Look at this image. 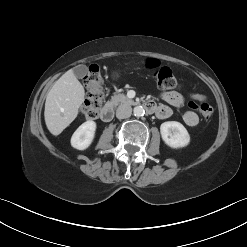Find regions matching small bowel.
I'll use <instances>...</instances> for the list:
<instances>
[{"label":"small bowel","mask_w":247,"mask_h":247,"mask_svg":"<svg viewBox=\"0 0 247 247\" xmlns=\"http://www.w3.org/2000/svg\"><path fill=\"white\" fill-rule=\"evenodd\" d=\"M161 98L168 104V105H159L156 106L155 114L160 119L169 118L172 115V108L174 107H181L184 105L185 99L184 97L176 92V91H169L164 92L161 94ZM191 101L189 106L195 104V102H203L205 101V96L198 93H193L190 95ZM170 105V106H169ZM183 121L189 127H194L199 123V117L193 110H188L183 113Z\"/></svg>","instance_id":"c3829d8e"}]
</instances>
